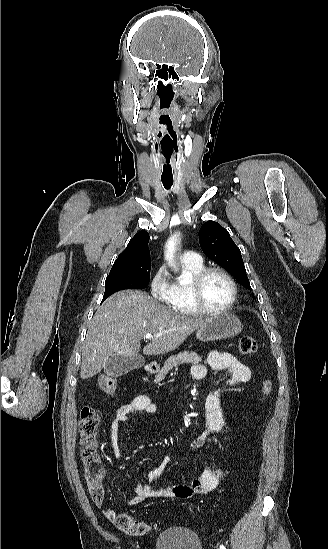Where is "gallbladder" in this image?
Segmentation results:
<instances>
[{
    "label": "gallbladder",
    "instance_id": "gallbladder-1",
    "mask_svg": "<svg viewBox=\"0 0 328 549\" xmlns=\"http://www.w3.org/2000/svg\"><path fill=\"white\" fill-rule=\"evenodd\" d=\"M145 363L146 361L142 355L123 357V355L113 353L112 357L106 359L103 369L105 375H109V377H122V375L130 373V371H134V369H141Z\"/></svg>",
    "mask_w": 328,
    "mask_h": 549
}]
</instances>
